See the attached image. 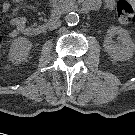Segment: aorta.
Wrapping results in <instances>:
<instances>
[{
    "mask_svg": "<svg viewBox=\"0 0 135 135\" xmlns=\"http://www.w3.org/2000/svg\"><path fill=\"white\" fill-rule=\"evenodd\" d=\"M65 21L69 26H75L79 22V15L75 12H70L66 15Z\"/></svg>",
    "mask_w": 135,
    "mask_h": 135,
    "instance_id": "762f6f07",
    "label": "aorta"
}]
</instances>
